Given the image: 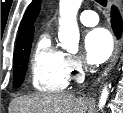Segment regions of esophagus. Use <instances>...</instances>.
<instances>
[{
  "mask_svg": "<svg viewBox=\"0 0 123 113\" xmlns=\"http://www.w3.org/2000/svg\"><path fill=\"white\" fill-rule=\"evenodd\" d=\"M118 58V44H116V47L114 49L111 63L104 69L102 74L98 77V79L95 81L94 85L98 84L111 70L112 66L115 64L116 60Z\"/></svg>",
  "mask_w": 123,
  "mask_h": 113,
  "instance_id": "34e87169",
  "label": "esophagus"
}]
</instances>
